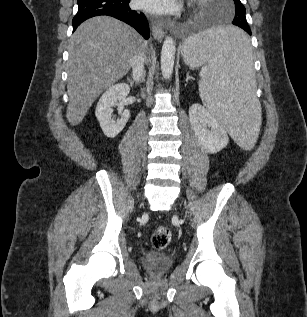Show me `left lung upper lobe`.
I'll list each match as a JSON object with an SVG mask.
<instances>
[{
	"mask_svg": "<svg viewBox=\"0 0 307 317\" xmlns=\"http://www.w3.org/2000/svg\"><path fill=\"white\" fill-rule=\"evenodd\" d=\"M235 4V17L233 20V24L236 25H245L248 26L245 16V7L241 3L240 0H233Z\"/></svg>",
	"mask_w": 307,
	"mask_h": 317,
	"instance_id": "1",
	"label": "left lung upper lobe"
}]
</instances>
